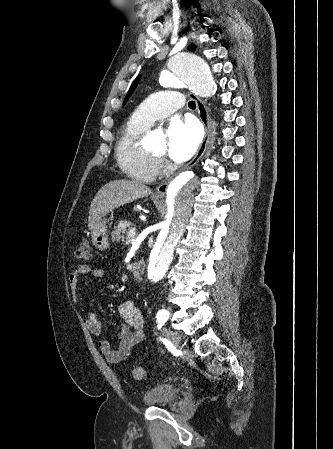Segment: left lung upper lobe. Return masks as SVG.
Masks as SVG:
<instances>
[{
    "instance_id": "obj_1",
    "label": "left lung upper lobe",
    "mask_w": 333,
    "mask_h": 449,
    "mask_svg": "<svg viewBox=\"0 0 333 449\" xmlns=\"http://www.w3.org/2000/svg\"><path fill=\"white\" fill-rule=\"evenodd\" d=\"M194 49H195L194 46H190V47H189V50H194ZM138 81H139V78H137V79L134 81V83L132 84V86H131V88H130L128 94L126 95V98H125V101H124V102L127 101L128 97L131 95V93L133 92V90H134L135 87L137 86Z\"/></svg>"
}]
</instances>
